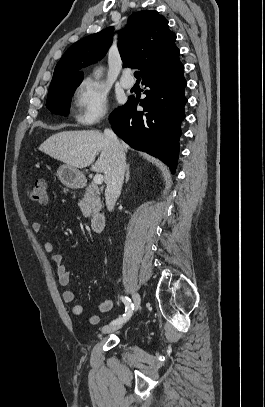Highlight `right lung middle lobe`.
Wrapping results in <instances>:
<instances>
[{"mask_svg":"<svg viewBox=\"0 0 265 407\" xmlns=\"http://www.w3.org/2000/svg\"><path fill=\"white\" fill-rule=\"evenodd\" d=\"M81 82H59L49 87L46 106L54 114L68 115L71 98Z\"/></svg>","mask_w":265,"mask_h":407,"instance_id":"right-lung-middle-lobe-1","label":"right lung middle lobe"}]
</instances>
